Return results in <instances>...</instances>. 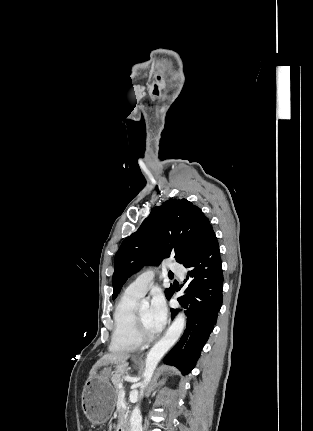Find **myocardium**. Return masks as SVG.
<instances>
[{
	"label": "myocardium",
	"mask_w": 313,
	"mask_h": 431,
	"mask_svg": "<svg viewBox=\"0 0 313 431\" xmlns=\"http://www.w3.org/2000/svg\"><path fill=\"white\" fill-rule=\"evenodd\" d=\"M134 336L140 344L151 342L157 337L156 333L147 334L145 332L139 308H136L134 312Z\"/></svg>",
	"instance_id": "obj_1"
}]
</instances>
